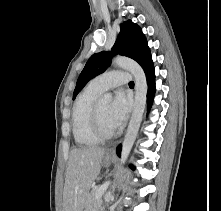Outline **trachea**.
<instances>
[{"label": "trachea", "instance_id": "1", "mask_svg": "<svg viewBox=\"0 0 221 211\" xmlns=\"http://www.w3.org/2000/svg\"><path fill=\"white\" fill-rule=\"evenodd\" d=\"M129 85H134V82L133 81L129 82Z\"/></svg>", "mask_w": 221, "mask_h": 211}]
</instances>
